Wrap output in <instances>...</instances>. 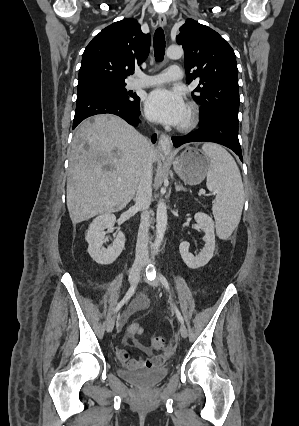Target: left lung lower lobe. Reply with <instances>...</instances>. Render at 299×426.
I'll list each match as a JSON object with an SVG mask.
<instances>
[{"instance_id":"1","label":"left lung lower lobe","mask_w":299,"mask_h":426,"mask_svg":"<svg viewBox=\"0 0 299 426\" xmlns=\"http://www.w3.org/2000/svg\"><path fill=\"white\" fill-rule=\"evenodd\" d=\"M201 126L194 132L180 137H172L175 147L189 142H215L233 150L243 160L238 140V122L223 115L203 117Z\"/></svg>"}]
</instances>
